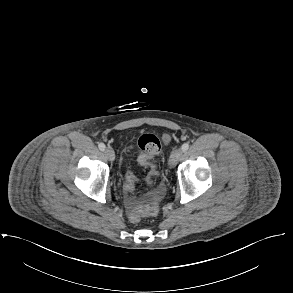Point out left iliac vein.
Returning a JSON list of instances; mask_svg holds the SVG:
<instances>
[{
	"instance_id": "obj_1",
	"label": "left iliac vein",
	"mask_w": 293,
	"mask_h": 293,
	"mask_svg": "<svg viewBox=\"0 0 293 293\" xmlns=\"http://www.w3.org/2000/svg\"><path fill=\"white\" fill-rule=\"evenodd\" d=\"M182 156V150L181 149H175L172 151L170 158H169V166L174 167L179 159Z\"/></svg>"
}]
</instances>
